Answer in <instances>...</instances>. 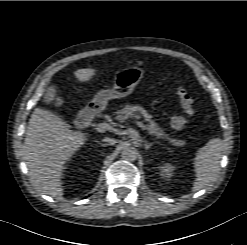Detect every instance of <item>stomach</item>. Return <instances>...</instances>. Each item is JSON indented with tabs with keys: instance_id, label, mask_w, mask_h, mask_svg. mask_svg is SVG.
<instances>
[{
	"instance_id": "stomach-1",
	"label": "stomach",
	"mask_w": 247,
	"mask_h": 245,
	"mask_svg": "<svg viewBox=\"0 0 247 245\" xmlns=\"http://www.w3.org/2000/svg\"><path fill=\"white\" fill-rule=\"evenodd\" d=\"M145 71L137 66L120 69L115 73L113 87L100 90L89 103L95 111L104 110L110 100L121 99L131 94L143 79Z\"/></svg>"
}]
</instances>
